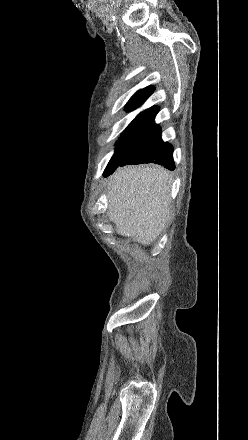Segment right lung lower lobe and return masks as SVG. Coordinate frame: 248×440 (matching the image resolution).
Segmentation results:
<instances>
[{
    "label": "right lung lower lobe",
    "instance_id": "1",
    "mask_svg": "<svg viewBox=\"0 0 248 440\" xmlns=\"http://www.w3.org/2000/svg\"><path fill=\"white\" fill-rule=\"evenodd\" d=\"M155 163L174 170L173 147L161 139V128L154 118L139 127L128 139L119 166ZM112 174V173H111ZM110 174L104 175V177Z\"/></svg>",
    "mask_w": 248,
    "mask_h": 440
}]
</instances>
